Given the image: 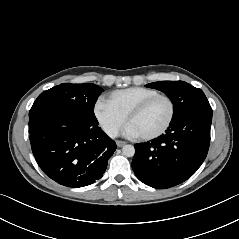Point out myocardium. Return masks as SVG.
Segmentation results:
<instances>
[{
  "label": "myocardium",
  "instance_id": "1",
  "mask_svg": "<svg viewBox=\"0 0 239 239\" xmlns=\"http://www.w3.org/2000/svg\"><path fill=\"white\" fill-rule=\"evenodd\" d=\"M159 98H164L168 101L170 105V116L167 122L165 123V125L160 130L149 135L139 136L141 140L149 141V140H153V139L161 137L169 130V128L171 127L174 121L175 114H176V106H175L174 100L167 94L157 93L155 95H152L144 99L139 104H137L134 108H132V110L127 115V122L129 123L133 117L143 112L152 102H154L155 100Z\"/></svg>",
  "mask_w": 239,
  "mask_h": 239
}]
</instances>
